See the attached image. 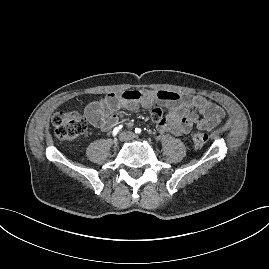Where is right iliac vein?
Returning <instances> with one entry per match:
<instances>
[{
    "mask_svg": "<svg viewBox=\"0 0 269 269\" xmlns=\"http://www.w3.org/2000/svg\"><path fill=\"white\" fill-rule=\"evenodd\" d=\"M119 139L121 140V141H123V140H125L126 138H125V136L124 135H122V133L119 135Z\"/></svg>",
    "mask_w": 269,
    "mask_h": 269,
    "instance_id": "obj_1",
    "label": "right iliac vein"
}]
</instances>
